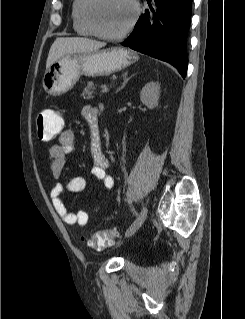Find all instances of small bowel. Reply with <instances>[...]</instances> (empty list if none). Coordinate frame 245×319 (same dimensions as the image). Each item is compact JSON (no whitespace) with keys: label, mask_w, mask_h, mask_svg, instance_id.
Masks as SVG:
<instances>
[{"label":"small bowel","mask_w":245,"mask_h":319,"mask_svg":"<svg viewBox=\"0 0 245 319\" xmlns=\"http://www.w3.org/2000/svg\"><path fill=\"white\" fill-rule=\"evenodd\" d=\"M81 114L88 123L92 134V156L94 164L91 168V173L99 180L107 190L114 188L115 180L108 170L111 167L110 160L102 151L99 132V116L98 108L86 105L82 108ZM76 142V136L72 129L65 128L61 134L59 141L54 143L49 148V155L51 157V172L55 178H59L64 169L66 156L73 150ZM86 180L84 177L76 176L67 181L66 184L57 183L53 186L50 197L55 210L62 218V220L71 226H78L84 228L89 220V213L85 210H78L76 212L70 211L63 199L62 194L67 191L70 193H79L85 189ZM105 208V205H99L94 208V213H100Z\"/></svg>","instance_id":"c3829d8e"}]
</instances>
